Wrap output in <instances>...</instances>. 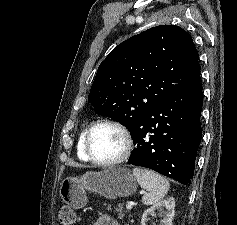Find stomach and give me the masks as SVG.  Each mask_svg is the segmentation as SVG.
<instances>
[{
	"label": "stomach",
	"instance_id": "1",
	"mask_svg": "<svg viewBox=\"0 0 237 225\" xmlns=\"http://www.w3.org/2000/svg\"><path fill=\"white\" fill-rule=\"evenodd\" d=\"M136 190L134 175L127 168L113 166L99 172H86L81 177H67L61 182L59 194L63 202L80 209L87 204L86 191L116 199L131 196Z\"/></svg>",
	"mask_w": 237,
	"mask_h": 225
}]
</instances>
